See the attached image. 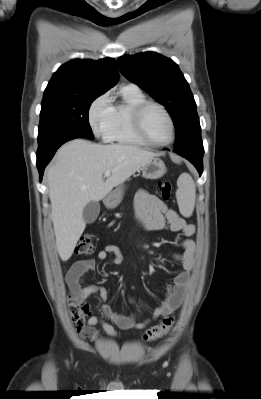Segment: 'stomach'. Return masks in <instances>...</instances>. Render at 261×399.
<instances>
[{
  "label": "stomach",
  "mask_w": 261,
  "mask_h": 399,
  "mask_svg": "<svg viewBox=\"0 0 261 399\" xmlns=\"http://www.w3.org/2000/svg\"><path fill=\"white\" fill-rule=\"evenodd\" d=\"M141 171L144 178L153 180L162 177L166 173V166L160 158L153 157L141 167ZM123 194L124 187L121 185L106 196L104 205L109 209L116 208L121 203Z\"/></svg>",
  "instance_id": "0dacf381"
}]
</instances>
